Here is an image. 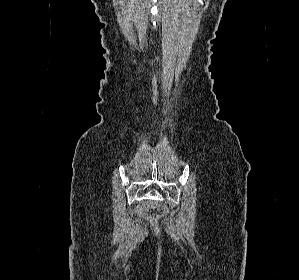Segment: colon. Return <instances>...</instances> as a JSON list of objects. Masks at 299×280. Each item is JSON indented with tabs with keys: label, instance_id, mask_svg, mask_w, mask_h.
Returning a JSON list of instances; mask_svg holds the SVG:
<instances>
[{
	"label": "colon",
	"instance_id": "obj_1",
	"mask_svg": "<svg viewBox=\"0 0 299 280\" xmlns=\"http://www.w3.org/2000/svg\"><path fill=\"white\" fill-rule=\"evenodd\" d=\"M164 213V209L161 207H155L151 213H150V218L152 220H155L157 218H159L162 214Z\"/></svg>",
	"mask_w": 299,
	"mask_h": 280
}]
</instances>
